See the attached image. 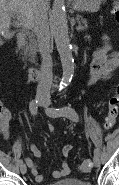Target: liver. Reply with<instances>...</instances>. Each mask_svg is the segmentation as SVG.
I'll list each match as a JSON object with an SVG mask.
<instances>
[{
    "label": "liver",
    "instance_id": "1",
    "mask_svg": "<svg viewBox=\"0 0 119 185\" xmlns=\"http://www.w3.org/2000/svg\"><path fill=\"white\" fill-rule=\"evenodd\" d=\"M41 0H0V34L8 32L11 15L13 13L21 15L23 27L33 28L35 12ZM48 0H46L47 7ZM0 41V45H2Z\"/></svg>",
    "mask_w": 119,
    "mask_h": 185
}]
</instances>
